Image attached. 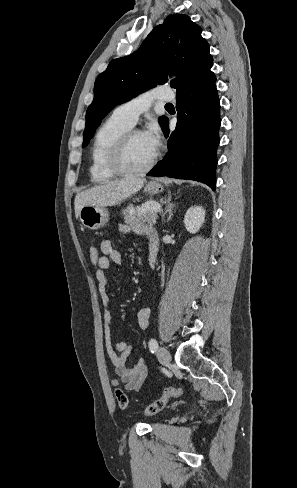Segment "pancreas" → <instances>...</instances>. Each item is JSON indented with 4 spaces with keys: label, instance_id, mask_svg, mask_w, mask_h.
Returning <instances> with one entry per match:
<instances>
[{
    "label": "pancreas",
    "instance_id": "1",
    "mask_svg": "<svg viewBox=\"0 0 297 488\" xmlns=\"http://www.w3.org/2000/svg\"><path fill=\"white\" fill-rule=\"evenodd\" d=\"M156 203L155 201H149L148 204ZM143 206L134 207L129 205L123 210L124 220L126 224L137 225L142 223H156V211L155 210H145L143 211Z\"/></svg>",
    "mask_w": 297,
    "mask_h": 488
}]
</instances>
